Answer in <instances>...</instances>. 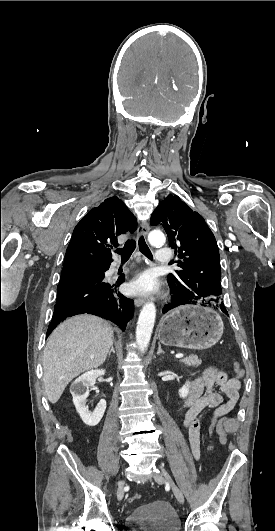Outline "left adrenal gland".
Segmentation results:
<instances>
[{"instance_id": "1", "label": "left adrenal gland", "mask_w": 275, "mask_h": 531, "mask_svg": "<svg viewBox=\"0 0 275 531\" xmlns=\"http://www.w3.org/2000/svg\"><path fill=\"white\" fill-rule=\"evenodd\" d=\"M161 353H162V355H164V351H163V349H161L160 343H158V351H157L156 355H161Z\"/></svg>"}]
</instances>
